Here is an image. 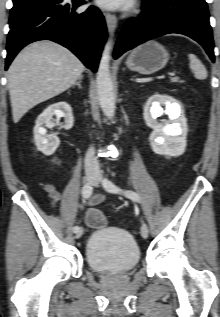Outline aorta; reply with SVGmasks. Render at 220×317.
Masks as SVG:
<instances>
[{
	"label": "aorta",
	"mask_w": 220,
	"mask_h": 317,
	"mask_svg": "<svg viewBox=\"0 0 220 317\" xmlns=\"http://www.w3.org/2000/svg\"><path fill=\"white\" fill-rule=\"evenodd\" d=\"M111 50L112 41L108 40L102 52L96 77L99 104L109 119H112L115 113V94L110 74Z\"/></svg>",
	"instance_id": "1"
}]
</instances>
